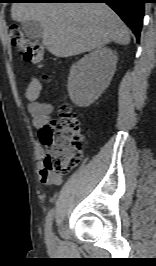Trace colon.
Wrapping results in <instances>:
<instances>
[{
  "label": "colon",
  "instance_id": "colon-1",
  "mask_svg": "<svg viewBox=\"0 0 156 266\" xmlns=\"http://www.w3.org/2000/svg\"><path fill=\"white\" fill-rule=\"evenodd\" d=\"M9 37L24 61L43 65L44 53L37 41L26 38L16 25L10 27ZM40 140L46 147L44 169L48 173L64 175L79 163L83 153L84 137L81 122L68 104H61L59 118L52 120L40 130Z\"/></svg>",
  "mask_w": 156,
  "mask_h": 266
}]
</instances>
